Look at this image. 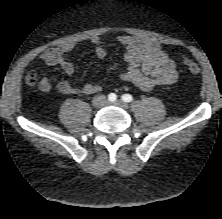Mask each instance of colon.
<instances>
[{"instance_id": "colon-1", "label": "colon", "mask_w": 222, "mask_h": 219, "mask_svg": "<svg viewBox=\"0 0 222 219\" xmlns=\"http://www.w3.org/2000/svg\"><path fill=\"white\" fill-rule=\"evenodd\" d=\"M181 63L182 66L192 75H198L200 73V68L199 66L194 63L193 61H191L189 58L187 57H182L181 58ZM38 80V74L36 71L32 70L30 71L27 76H26V82L29 85H36Z\"/></svg>"}]
</instances>
